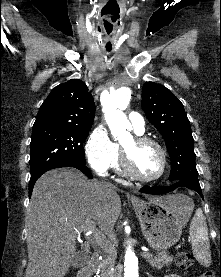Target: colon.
<instances>
[{
	"label": "colon",
	"mask_w": 221,
	"mask_h": 277,
	"mask_svg": "<svg viewBox=\"0 0 221 277\" xmlns=\"http://www.w3.org/2000/svg\"><path fill=\"white\" fill-rule=\"evenodd\" d=\"M176 265L181 269H188L194 264V258L189 252L180 251L176 254ZM200 277H216L212 271L203 272Z\"/></svg>",
	"instance_id": "1"
}]
</instances>
